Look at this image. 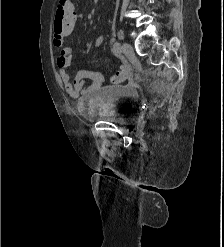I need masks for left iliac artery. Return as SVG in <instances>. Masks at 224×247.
I'll return each instance as SVG.
<instances>
[{"mask_svg": "<svg viewBox=\"0 0 224 247\" xmlns=\"http://www.w3.org/2000/svg\"><path fill=\"white\" fill-rule=\"evenodd\" d=\"M113 50L115 53H119L121 51V46L119 42H115L113 45Z\"/></svg>", "mask_w": 224, "mask_h": 247, "instance_id": "44dca946", "label": "left iliac artery"}]
</instances>
